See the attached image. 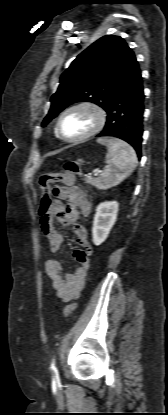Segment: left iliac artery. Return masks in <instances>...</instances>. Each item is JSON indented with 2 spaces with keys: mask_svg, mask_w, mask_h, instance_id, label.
I'll return each instance as SVG.
<instances>
[{
  "mask_svg": "<svg viewBox=\"0 0 168 415\" xmlns=\"http://www.w3.org/2000/svg\"><path fill=\"white\" fill-rule=\"evenodd\" d=\"M51 369L53 372H56V367H55V361L53 359L52 364H51Z\"/></svg>",
  "mask_w": 168,
  "mask_h": 415,
  "instance_id": "44dca946",
  "label": "left iliac artery"
}]
</instances>
